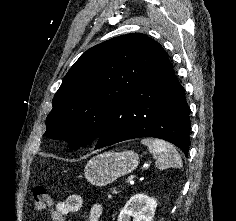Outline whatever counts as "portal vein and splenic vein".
Masks as SVG:
<instances>
[{
    "label": "portal vein and splenic vein",
    "instance_id": "portal-vein-and-splenic-vein-1",
    "mask_svg": "<svg viewBox=\"0 0 236 221\" xmlns=\"http://www.w3.org/2000/svg\"><path fill=\"white\" fill-rule=\"evenodd\" d=\"M133 178H134V176L130 177V178L125 182V184H128V183H130L131 181H133Z\"/></svg>",
    "mask_w": 236,
    "mask_h": 221
}]
</instances>
